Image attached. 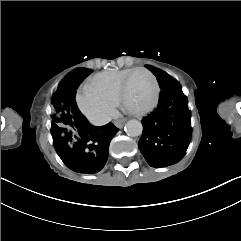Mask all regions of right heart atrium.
<instances>
[{
    "label": "right heart atrium",
    "instance_id": "1",
    "mask_svg": "<svg viewBox=\"0 0 241 241\" xmlns=\"http://www.w3.org/2000/svg\"><path fill=\"white\" fill-rule=\"evenodd\" d=\"M76 104L83 114L100 127H107L113 115L114 101L111 96L104 94L93 85L86 84L76 92Z\"/></svg>",
    "mask_w": 241,
    "mask_h": 241
}]
</instances>
